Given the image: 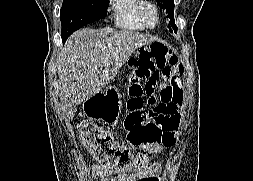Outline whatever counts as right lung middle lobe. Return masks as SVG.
Wrapping results in <instances>:
<instances>
[{
    "label": "right lung middle lobe",
    "mask_w": 253,
    "mask_h": 181,
    "mask_svg": "<svg viewBox=\"0 0 253 181\" xmlns=\"http://www.w3.org/2000/svg\"><path fill=\"white\" fill-rule=\"evenodd\" d=\"M108 0H63L60 12L62 35L106 16Z\"/></svg>",
    "instance_id": "right-lung-middle-lobe-1"
}]
</instances>
